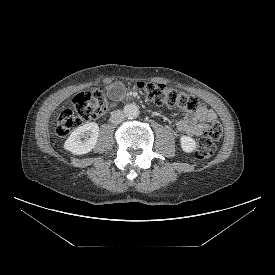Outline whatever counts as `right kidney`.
<instances>
[{
	"label": "right kidney",
	"instance_id": "ca27d5eb",
	"mask_svg": "<svg viewBox=\"0 0 275 275\" xmlns=\"http://www.w3.org/2000/svg\"><path fill=\"white\" fill-rule=\"evenodd\" d=\"M99 136V126L88 122L77 127L64 143V148L75 155L90 152L96 145Z\"/></svg>",
	"mask_w": 275,
	"mask_h": 275
}]
</instances>
